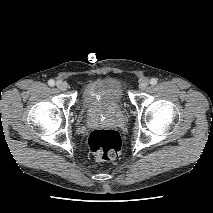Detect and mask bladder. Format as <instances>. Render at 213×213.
Masks as SVG:
<instances>
[{"mask_svg": "<svg viewBox=\"0 0 213 213\" xmlns=\"http://www.w3.org/2000/svg\"><path fill=\"white\" fill-rule=\"evenodd\" d=\"M124 95L121 80L106 77L87 83L82 89L81 102L87 113H98L121 107Z\"/></svg>", "mask_w": 213, "mask_h": 213, "instance_id": "1", "label": "bladder"}]
</instances>
